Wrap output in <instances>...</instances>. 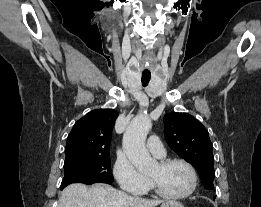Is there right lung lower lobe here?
<instances>
[{
  "label": "right lung lower lobe",
  "instance_id": "98d812e1",
  "mask_svg": "<svg viewBox=\"0 0 261 207\" xmlns=\"http://www.w3.org/2000/svg\"><path fill=\"white\" fill-rule=\"evenodd\" d=\"M93 183H96V182H92V183H90V184H93ZM104 183H107V182H104ZM107 184H111V183H107ZM62 190V189H61Z\"/></svg>",
  "mask_w": 261,
  "mask_h": 207
}]
</instances>
